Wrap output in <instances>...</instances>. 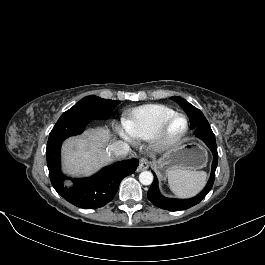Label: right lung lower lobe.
I'll return each instance as SVG.
<instances>
[{
	"label": "right lung lower lobe",
	"mask_w": 265,
	"mask_h": 265,
	"mask_svg": "<svg viewBox=\"0 0 265 265\" xmlns=\"http://www.w3.org/2000/svg\"><path fill=\"white\" fill-rule=\"evenodd\" d=\"M90 121L74 118L57 122L49 134L46 156L50 180L58 194L77 207L96 209L114 198L122 179L135 172L139 161L132 159L116 162L89 178L73 179V185L66 186V180L70 178L61 170L62 142L82 133Z\"/></svg>",
	"instance_id": "1"
}]
</instances>
